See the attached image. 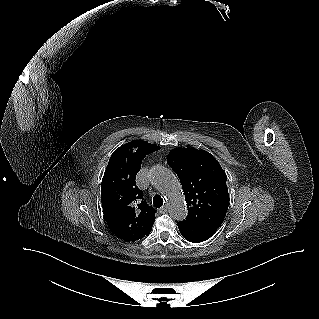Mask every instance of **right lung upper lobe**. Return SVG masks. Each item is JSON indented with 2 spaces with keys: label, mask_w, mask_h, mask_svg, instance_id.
<instances>
[{
  "label": "right lung upper lobe",
  "mask_w": 319,
  "mask_h": 319,
  "mask_svg": "<svg viewBox=\"0 0 319 319\" xmlns=\"http://www.w3.org/2000/svg\"><path fill=\"white\" fill-rule=\"evenodd\" d=\"M159 146L132 141L116 149L110 157L101 184L104 217L120 239L135 242L149 235L155 220V209L142 198L135 183L142 159Z\"/></svg>",
  "instance_id": "1"
}]
</instances>
